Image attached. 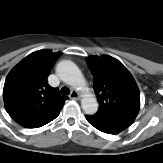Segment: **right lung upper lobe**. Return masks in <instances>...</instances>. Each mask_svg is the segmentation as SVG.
Segmentation results:
<instances>
[{
    "instance_id": "1",
    "label": "right lung upper lobe",
    "mask_w": 163,
    "mask_h": 163,
    "mask_svg": "<svg viewBox=\"0 0 163 163\" xmlns=\"http://www.w3.org/2000/svg\"><path fill=\"white\" fill-rule=\"evenodd\" d=\"M62 53L39 50L20 61L9 73L4 84L5 108L16 121L47 118L58 113L66 99L58 89L47 83L55 61Z\"/></svg>"
}]
</instances>
